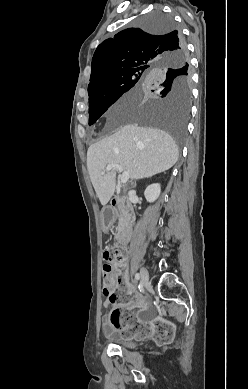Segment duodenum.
<instances>
[{"instance_id":"duodenum-1","label":"duodenum","mask_w":248,"mask_h":389,"mask_svg":"<svg viewBox=\"0 0 248 389\" xmlns=\"http://www.w3.org/2000/svg\"><path fill=\"white\" fill-rule=\"evenodd\" d=\"M120 205L118 198L114 197L109 202L111 209H117ZM134 221V214L132 207L129 203L125 204L122 208V228L119 236L120 244L123 248H126L132 235V223ZM110 226H104V230H108Z\"/></svg>"}]
</instances>
